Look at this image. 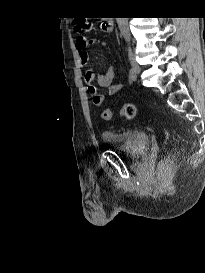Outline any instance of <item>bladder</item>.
<instances>
[{
	"label": "bladder",
	"instance_id": "obj_1",
	"mask_svg": "<svg viewBox=\"0 0 205 273\" xmlns=\"http://www.w3.org/2000/svg\"><path fill=\"white\" fill-rule=\"evenodd\" d=\"M101 135L104 142L116 153L126 157H137L149 150V136L142 130H120L107 126L102 130Z\"/></svg>",
	"mask_w": 205,
	"mask_h": 273
}]
</instances>
